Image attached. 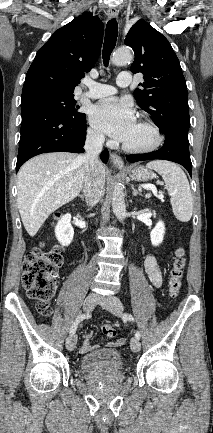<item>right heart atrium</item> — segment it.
<instances>
[{"label":"right heart atrium","instance_id":"right-heart-atrium-1","mask_svg":"<svg viewBox=\"0 0 213 433\" xmlns=\"http://www.w3.org/2000/svg\"><path fill=\"white\" fill-rule=\"evenodd\" d=\"M88 137L95 142H102L104 139L102 133L93 128L88 130Z\"/></svg>","mask_w":213,"mask_h":433}]
</instances>
